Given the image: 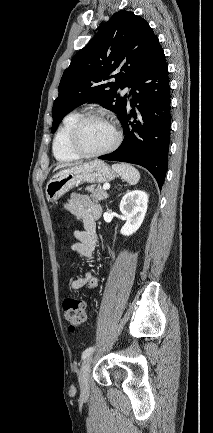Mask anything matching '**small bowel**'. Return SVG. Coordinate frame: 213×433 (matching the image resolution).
<instances>
[{"label": "small bowel", "mask_w": 213, "mask_h": 433, "mask_svg": "<svg viewBox=\"0 0 213 433\" xmlns=\"http://www.w3.org/2000/svg\"><path fill=\"white\" fill-rule=\"evenodd\" d=\"M65 208L72 214L75 220L81 222L84 230H75L70 250L91 260L98 245L95 221L101 214V207L86 196L72 194ZM98 279L93 270H87L83 276L73 279L69 283L70 290H78L84 286L93 289L97 286Z\"/></svg>", "instance_id": "1"}]
</instances>
